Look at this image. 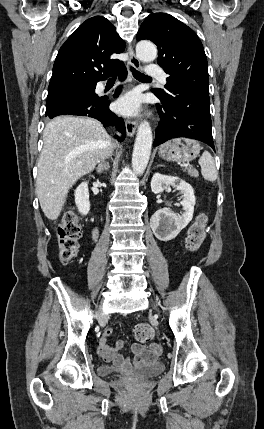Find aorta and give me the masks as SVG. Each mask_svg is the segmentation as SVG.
Masks as SVG:
<instances>
[{
	"instance_id": "762f6f07",
	"label": "aorta",
	"mask_w": 264,
	"mask_h": 429,
	"mask_svg": "<svg viewBox=\"0 0 264 429\" xmlns=\"http://www.w3.org/2000/svg\"><path fill=\"white\" fill-rule=\"evenodd\" d=\"M136 55L143 62H152L157 57V48L152 42L142 40L136 45ZM152 143L151 127L147 121H143L138 126L132 154V168L138 175L143 174L148 165Z\"/></svg>"
}]
</instances>
